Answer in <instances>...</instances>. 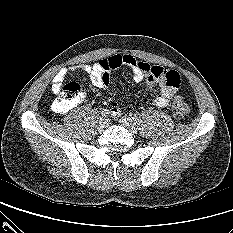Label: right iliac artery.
Wrapping results in <instances>:
<instances>
[{"instance_id": "82829eb1", "label": "right iliac artery", "mask_w": 233, "mask_h": 233, "mask_svg": "<svg viewBox=\"0 0 233 233\" xmlns=\"http://www.w3.org/2000/svg\"><path fill=\"white\" fill-rule=\"evenodd\" d=\"M109 114V110L108 109H103L102 112H101V116L102 117H107Z\"/></svg>"}]
</instances>
